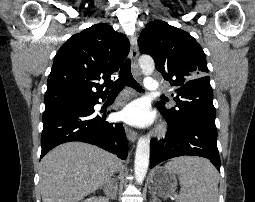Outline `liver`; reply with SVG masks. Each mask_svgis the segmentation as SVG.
I'll list each match as a JSON object with an SVG mask.
<instances>
[{
  "instance_id": "1",
  "label": "liver",
  "mask_w": 255,
  "mask_h": 202,
  "mask_svg": "<svg viewBox=\"0 0 255 202\" xmlns=\"http://www.w3.org/2000/svg\"><path fill=\"white\" fill-rule=\"evenodd\" d=\"M120 165L115 155L93 145H59L40 163L42 202H78L110 180Z\"/></svg>"
}]
</instances>
